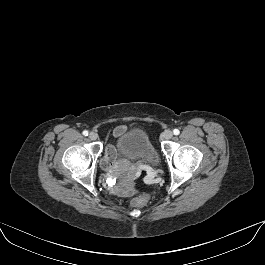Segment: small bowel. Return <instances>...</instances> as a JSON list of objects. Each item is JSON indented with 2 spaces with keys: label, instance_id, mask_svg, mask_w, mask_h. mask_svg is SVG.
<instances>
[{
  "label": "small bowel",
  "instance_id": "1",
  "mask_svg": "<svg viewBox=\"0 0 265 265\" xmlns=\"http://www.w3.org/2000/svg\"><path fill=\"white\" fill-rule=\"evenodd\" d=\"M124 130V127H118L116 130H115V134H119L121 131ZM115 157V151H114V148L113 147H108L107 150H106V153L103 157V160H102V165L105 167V168H109L112 164V161H113V158ZM135 192V189L133 187H129L127 188L125 191H123V194H127V195H131Z\"/></svg>",
  "mask_w": 265,
  "mask_h": 265
}]
</instances>
